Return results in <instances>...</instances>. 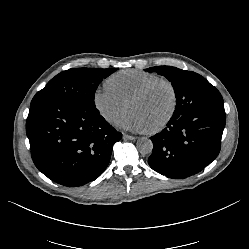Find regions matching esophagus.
<instances>
[{
  "instance_id": "34e87169",
  "label": "esophagus",
  "mask_w": 249,
  "mask_h": 249,
  "mask_svg": "<svg viewBox=\"0 0 249 249\" xmlns=\"http://www.w3.org/2000/svg\"><path fill=\"white\" fill-rule=\"evenodd\" d=\"M136 138H137V137H135V136L123 134V139H124V140H135Z\"/></svg>"
}]
</instances>
